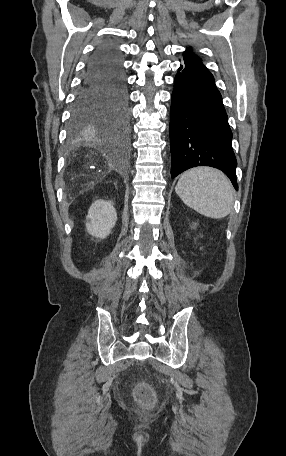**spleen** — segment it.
Segmentation results:
<instances>
[{
	"label": "spleen",
	"mask_w": 286,
	"mask_h": 456,
	"mask_svg": "<svg viewBox=\"0 0 286 456\" xmlns=\"http://www.w3.org/2000/svg\"><path fill=\"white\" fill-rule=\"evenodd\" d=\"M175 191L185 205L209 218L220 219L233 210L232 184L217 169L196 167L184 172Z\"/></svg>",
	"instance_id": "obj_1"
}]
</instances>
